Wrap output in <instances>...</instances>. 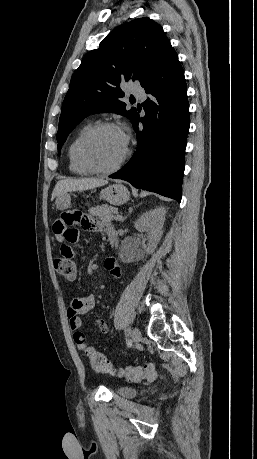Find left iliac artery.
I'll return each instance as SVG.
<instances>
[{"mask_svg": "<svg viewBox=\"0 0 257 459\" xmlns=\"http://www.w3.org/2000/svg\"><path fill=\"white\" fill-rule=\"evenodd\" d=\"M125 332H126V336L128 337V336H129V334H130V331H129V329H126V331H125Z\"/></svg>", "mask_w": 257, "mask_h": 459, "instance_id": "1", "label": "left iliac artery"}]
</instances>
